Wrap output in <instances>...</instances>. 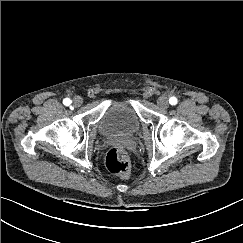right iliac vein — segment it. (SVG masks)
<instances>
[{
    "label": "right iliac vein",
    "instance_id": "63e3f726",
    "mask_svg": "<svg viewBox=\"0 0 243 243\" xmlns=\"http://www.w3.org/2000/svg\"><path fill=\"white\" fill-rule=\"evenodd\" d=\"M82 102H83L82 98L79 97V96H76V97L73 98L72 105L74 107H79L82 104Z\"/></svg>",
    "mask_w": 243,
    "mask_h": 243
}]
</instances>
